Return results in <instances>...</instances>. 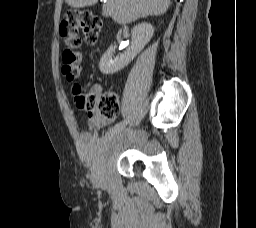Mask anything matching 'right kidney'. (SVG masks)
<instances>
[{"label":"right kidney","mask_w":256,"mask_h":228,"mask_svg":"<svg viewBox=\"0 0 256 228\" xmlns=\"http://www.w3.org/2000/svg\"><path fill=\"white\" fill-rule=\"evenodd\" d=\"M154 33V28L150 23H141L133 27L132 45L126 52L113 58L115 47L110 46L103 54L99 62V69L103 74H114L126 67L144 46L150 41Z\"/></svg>","instance_id":"obj_1"}]
</instances>
